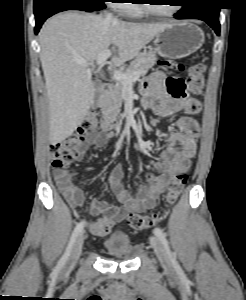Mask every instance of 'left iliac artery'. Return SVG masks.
I'll use <instances>...</instances> for the list:
<instances>
[{
	"label": "left iliac artery",
	"instance_id": "44dca946",
	"mask_svg": "<svg viewBox=\"0 0 246 300\" xmlns=\"http://www.w3.org/2000/svg\"><path fill=\"white\" fill-rule=\"evenodd\" d=\"M154 233L159 238V240L161 241V243L163 244L166 252L168 253V255H169V257H170V259L172 261V263L176 264V260H175V258L173 256V253L169 249V244H168V241L166 239L165 233L160 228H158V227H156L154 229Z\"/></svg>",
	"mask_w": 246,
	"mask_h": 300
}]
</instances>
